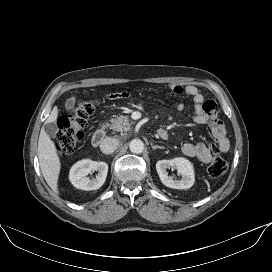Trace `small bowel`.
<instances>
[{
  "instance_id": "1",
  "label": "small bowel",
  "mask_w": 272,
  "mask_h": 272,
  "mask_svg": "<svg viewBox=\"0 0 272 272\" xmlns=\"http://www.w3.org/2000/svg\"><path fill=\"white\" fill-rule=\"evenodd\" d=\"M170 90L175 95H185L193 101V121L198 125L208 126L213 139L216 141L222 152H227L230 148V142L226 135L224 124L218 119V107L214 101L204 99V96L196 86L171 85ZM110 100L130 97L128 92H117L106 96ZM75 97H71L66 102V109L71 110L75 105ZM184 105L180 103L177 106L179 111L183 110ZM163 130V129H162ZM165 131V130H163ZM166 132V131H165ZM167 133V132H166ZM183 153L189 157H196L203 163H209L212 160L211 152L204 142L185 143L182 147Z\"/></svg>"
}]
</instances>
